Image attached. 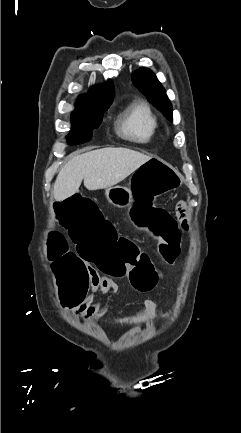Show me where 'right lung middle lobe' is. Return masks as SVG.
<instances>
[{
  "mask_svg": "<svg viewBox=\"0 0 241 433\" xmlns=\"http://www.w3.org/2000/svg\"><path fill=\"white\" fill-rule=\"evenodd\" d=\"M106 107L78 105L72 114V130L67 136L68 144H81L91 139L92 130L101 122Z\"/></svg>",
  "mask_w": 241,
  "mask_h": 433,
  "instance_id": "right-lung-middle-lobe-1",
  "label": "right lung middle lobe"
}]
</instances>
